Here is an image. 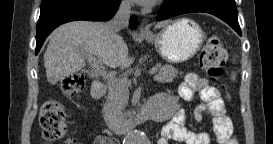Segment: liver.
Segmentation results:
<instances>
[{"mask_svg": "<svg viewBox=\"0 0 273 144\" xmlns=\"http://www.w3.org/2000/svg\"><path fill=\"white\" fill-rule=\"evenodd\" d=\"M109 23L73 21L59 26L49 36L44 53L47 81L52 85L85 67V54L89 53L111 68L124 69L133 63L122 37L113 35ZM168 21L159 22L156 29Z\"/></svg>", "mask_w": 273, "mask_h": 144, "instance_id": "1", "label": "liver"}]
</instances>
